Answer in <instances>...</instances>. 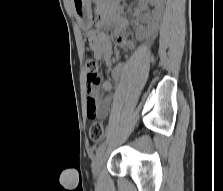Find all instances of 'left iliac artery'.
Returning a JSON list of instances; mask_svg holds the SVG:
<instances>
[{"label": "left iliac artery", "mask_w": 223, "mask_h": 191, "mask_svg": "<svg viewBox=\"0 0 223 191\" xmlns=\"http://www.w3.org/2000/svg\"><path fill=\"white\" fill-rule=\"evenodd\" d=\"M105 147H106V142L104 141L96 149V156L100 155L104 151Z\"/></svg>", "instance_id": "1"}]
</instances>
